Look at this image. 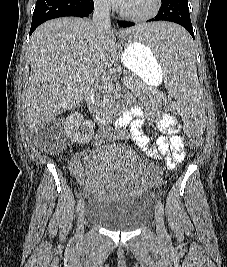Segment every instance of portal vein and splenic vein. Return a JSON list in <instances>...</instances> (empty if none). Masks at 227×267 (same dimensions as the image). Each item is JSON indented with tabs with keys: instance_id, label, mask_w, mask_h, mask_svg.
<instances>
[{
	"instance_id": "obj_1",
	"label": "portal vein and splenic vein",
	"mask_w": 227,
	"mask_h": 267,
	"mask_svg": "<svg viewBox=\"0 0 227 267\" xmlns=\"http://www.w3.org/2000/svg\"><path fill=\"white\" fill-rule=\"evenodd\" d=\"M77 77H78V75H77ZM102 79H105L106 82H107V81H109L111 79V77L110 76H108V77L102 76Z\"/></svg>"
}]
</instances>
